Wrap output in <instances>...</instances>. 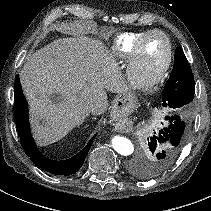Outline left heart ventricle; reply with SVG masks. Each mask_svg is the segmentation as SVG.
<instances>
[{
	"mask_svg": "<svg viewBox=\"0 0 211 211\" xmlns=\"http://www.w3.org/2000/svg\"><path fill=\"white\" fill-rule=\"evenodd\" d=\"M167 45L160 35L150 36L141 51L137 76L140 80L150 79L160 68L166 58Z\"/></svg>",
	"mask_w": 211,
	"mask_h": 211,
	"instance_id": "1",
	"label": "left heart ventricle"
}]
</instances>
